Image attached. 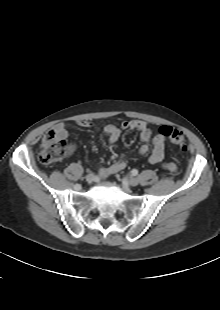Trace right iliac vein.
Instances as JSON below:
<instances>
[{"mask_svg":"<svg viewBox=\"0 0 220 310\" xmlns=\"http://www.w3.org/2000/svg\"><path fill=\"white\" fill-rule=\"evenodd\" d=\"M95 180V176L93 174H88L86 176L87 183L91 184Z\"/></svg>","mask_w":220,"mask_h":310,"instance_id":"right-iliac-vein-1","label":"right iliac vein"}]
</instances>
